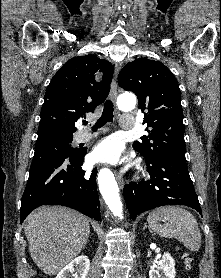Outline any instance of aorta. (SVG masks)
Returning a JSON list of instances; mask_svg holds the SVG:
<instances>
[{"mask_svg":"<svg viewBox=\"0 0 221 278\" xmlns=\"http://www.w3.org/2000/svg\"><path fill=\"white\" fill-rule=\"evenodd\" d=\"M133 97L122 98L119 107L122 110H130L135 106ZM99 190L114 216L122 217L123 205L119 195V187L115 180L114 174L109 169H102L98 174Z\"/></svg>","mask_w":221,"mask_h":278,"instance_id":"obj_1","label":"aorta"}]
</instances>
